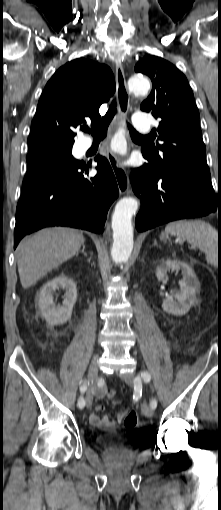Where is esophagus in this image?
Wrapping results in <instances>:
<instances>
[{"label":"esophagus","mask_w":221,"mask_h":510,"mask_svg":"<svg viewBox=\"0 0 221 510\" xmlns=\"http://www.w3.org/2000/svg\"><path fill=\"white\" fill-rule=\"evenodd\" d=\"M115 76L117 83V107L119 110V116L115 119V125L121 126L123 117L127 114L129 109L130 96L127 89L124 70L120 64L116 65ZM106 155L113 170L120 194H127L129 192V178L127 172L109 148L106 149Z\"/></svg>","instance_id":"esophagus-1"}]
</instances>
